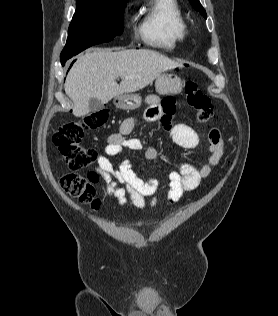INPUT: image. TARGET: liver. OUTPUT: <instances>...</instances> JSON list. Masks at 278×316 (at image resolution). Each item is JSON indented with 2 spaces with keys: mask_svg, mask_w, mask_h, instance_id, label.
Segmentation results:
<instances>
[{
  "mask_svg": "<svg viewBox=\"0 0 278 316\" xmlns=\"http://www.w3.org/2000/svg\"><path fill=\"white\" fill-rule=\"evenodd\" d=\"M177 67L182 65L152 50L97 49L77 59L64 89L73 101V114L81 117L90 112V98L108 103L114 97L143 89L162 72ZM118 77L122 79L120 85L116 82Z\"/></svg>",
  "mask_w": 278,
  "mask_h": 316,
  "instance_id": "obj_1",
  "label": "liver"
}]
</instances>
